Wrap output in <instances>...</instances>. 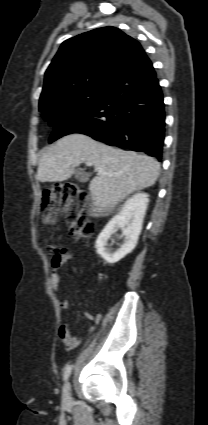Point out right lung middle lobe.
Masks as SVG:
<instances>
[{
  "label": "right lung middle lobe",
  "mask_w": 208,
  "mask_h": 425,
  "mask_svg": "<svg viewBox=\"0 0 208 425\" xmlns=\"http://www.w3.org/2000/svg\"><path fill=\"white\" fill-rule=\"evenodd\" d=\"M106 93V89H84L55 99L39 103V111L50 125H55L63 117L77 113L97 103Z\"/></svg>",
  "instance_id": "1"
}]
</instances>
